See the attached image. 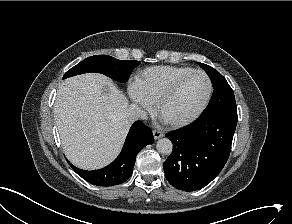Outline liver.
Masks as SVG:
<instances>
[{
    "mask_svg": "<svg viewBox=\"0 0 292 224\" xmlns=\"http://www.w3.org/2000/svg\"><path fill=\"white\" fill-rule=\"evenodd\" d=\"M128 106L126 96L101 74L62 82L54 115L70 162L85 170L109 164L120 152L130 127Z\"/></svg>",
    "mask_w": 292,
    "mask_h": 224,
    "instance_id": "1",
    "label": "liver"
}]
</instances>
